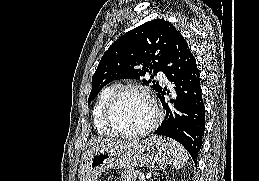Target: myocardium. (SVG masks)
I'll list each match as a JSON object with an SVG mask.
<instances>
[{
    "label": "myocardium",
    "instance_id": "obj_1",
    "mask_svg": "<svg viewBox=\"0 0 259 181\" xmlns=\"http://www.w3.org/2000/svg\"><path fill=\"white\" fill-rule=\"evenodd\" d=\"M130 91L142 93L149 100L154 112L152 121L146 127L133 132L121 130L114 122V112L119 99L123 96V94ZM161 119L162 111L151 91L146 86L136 83L118 86L111 94L104 109V122L106 126L112 131L113 134L125 138H137L147 135L159 125Z\"/></svg>",
    "mask_w": 259,
    "mask_h": 181
}]
</instances>
